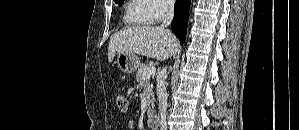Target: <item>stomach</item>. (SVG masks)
Instances as JSON below:
<instances>
[{
    "label": "stomach",
    "mask_w": 299,
    "mask_h": 130,
    "mask_svg": "<svg viewBox=\"0 0 299 130\" xmlns=\"http://www.w3.org/2000/svg\"><path fill=\"white\" fill-rule=\"evenodd\" d=\"M116 63L122 72L130 74L140 66V59L135 53H119Z\"/></svg>",
    "instance_id": "stomach-1"
}]
</instances>
